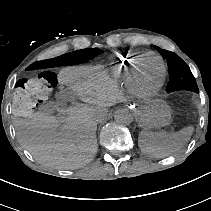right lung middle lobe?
Segmentation results:
<instances>
[{
    "instance_id": "dd1d6c3e",
    "label": "right lung middle lobe",
    "mask_w": 211,
    "mask_h": 211,
    "mask_svg": "<svg viewBox=\"0 0 211 211\" xmlns=\"http://www.w3.org/2000/svg\"><path fill=\"white\" fill-rule=\"evenodd\" d=\"M103 51L100 49H82L61 56L65 65H73L93 59Z\"/></svg>"
}]
</instances>
